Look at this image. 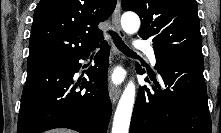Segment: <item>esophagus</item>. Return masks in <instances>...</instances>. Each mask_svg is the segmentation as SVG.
Returning <instances> with one entry per match:
<instances>
[{"label":"esophagus","mask_w":221,"mask_h":133,"mask_svg":"<svg viewBox=\"0 0 221 133\" xmlns=\"http://www.w3.org/2000/svg\"><path fill=\"white\" fill-rule=\"evenodd\" d=\"M120 15H121V2L118 0L115 10L113 12V16H112V22H113V26L114 29L117 31V33L124 38L125 34L121 28L120 25ZM112 52L115 58L120 59L121 58V53L119 52V50L116 48V46L114 44H112ZM121 94V89L120 87H116L114 85H110L109 87V96L111 99V102L113 104H115L117 102V100L119 99Z\"/></svg>","instance_id":"obj_1"}]
</instances>
